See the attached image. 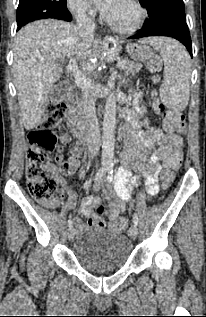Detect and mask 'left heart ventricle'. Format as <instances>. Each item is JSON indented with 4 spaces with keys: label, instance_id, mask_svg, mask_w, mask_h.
Listing matches in <instances>:
<instances>
[{
    "label": "left heart ventricle",
    "instance_id": "obj_1",
    "mask_svg": "<svg viewBox=\"0 0 206 317\" xmlns=\"http://www.w3.org/2000/svg\"><path fill=\"white\" fill-rule=\"evenodd\" d=\"M137 18L136 9L128 0H118L115 8L108 17L109 20L117 25L127 26L133 23Z\"/></svg>",
    "mask_w": 206,
    "mask_h": 317
}]
</instances>
